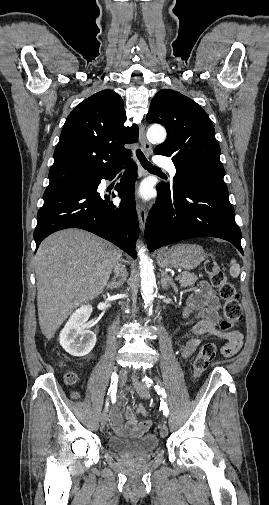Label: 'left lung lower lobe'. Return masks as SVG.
Returning a JSON list of instances; mask_svg holds the SVG:
<instances>
[{"label": "left lung lower lobe", "instance_id": "1", "mask_svg": "<svg viewBox=\"0 0 269 505\" xmlns=\"http://www.w3.org/2000/svg\"><path fill=\"white\" fill-rule=\"evenodd\" d=\"M158 197L145 226L150 251L197 236L231 242L242 254L241 231L234 219L222 177L191 169L176 171L171 187L157 185Z\"/></svg>", "mask_w": 269, "mask_h": 505}]
</instances>
